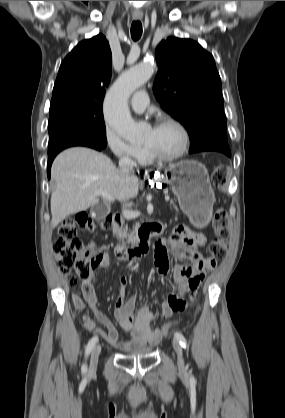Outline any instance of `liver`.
<instances>
[{
  "mask_svg": "<svg viewBox=\"0 0 285 418\" xmlns=\"http://www.w3.org/2000/svg\"><path fill=\"white\" fill-rule=\"evenodd\" d=\"M55 189L51 193V226L66 217L99 203L97 191L126 200L138 194L139 181L116 168L103 153L85 147L69 148L58 154L51 168Z\"/></svg>",
  "mask_w": 285,
  "mask_h": 418,
  "instance_id": "obj_1",
  "label": "liver"
}]
</instances>
